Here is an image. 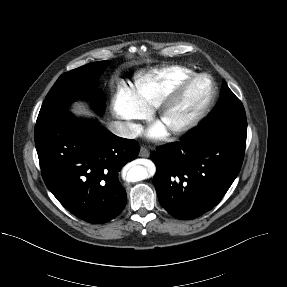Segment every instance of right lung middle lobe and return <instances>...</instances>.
Masks as SVG:
<instances>
[{
    "mask_svg": "<svg viewBox=\"0 0 287 287\" xmlns=\"http://www.w3.org/2000/svg\"><path fill=\"white\" fill-rule=\"evenodd\" d=\"M108 61L89 63L59 77L47 94L40 109L37 123L57 118L67 111L70 102L79 99L91 100L95 110L102 114L106 108L105 98L97 94V79Z\"/></svg>",
    "mask_w": 287,
    "mask_h": 287,
    "instance_id": "1",
    "label": "right lung middle lobe"
}]
</instances>
